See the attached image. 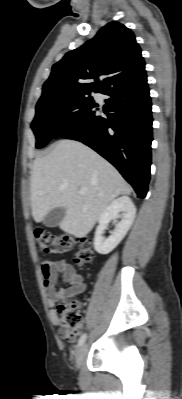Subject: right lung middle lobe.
I'll return each instance as SVG.
<instances>
[{
  "label": "right lung middle lobe",
  "instance_id": "obj_1",
  "mask_svg": "<svg viewBox=\"0 0 182 399\" xmlns=\"http://www.w3.org/2000/svg\"><path fill=\"white\" fill-rule=\"evenodd\" d=\"M90 95L59 96L39 101L31 128L36 136V148L44 147L52 138L81 128L95 114Z\"/></svg>",
  "mask_w": 182,
  "mask_h": 399
}]
</instances>
